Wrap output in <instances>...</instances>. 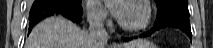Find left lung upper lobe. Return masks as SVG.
Instances as JSON below:
<instances>
[{
    "label": "left lung upper lobe",
    "mask_w": 213,
    "mask_h": 48,
    "mask_svg": "<svg viewBox=\"0 0 213 48\" xmlns=\"http://www.w3.org/2000/svg\"><path fill=\"white\" fill-rule=\"evenodd\" d=\"M157 4V17L167 12H179L189 15L188 0H155Z\"/></svg>",
    "instance_id": "5c2ea615"
}]
</instances>
